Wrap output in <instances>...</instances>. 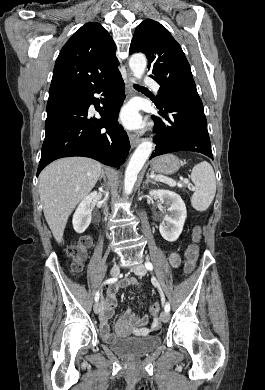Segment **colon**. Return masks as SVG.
I'll return each instance as SVG.
<instances>
[{
	"mask_svg": "<svg viewBox=\"0 0 265 390\" xmlns=\"http://www.w3.org/2000/svg\"><path fill=\"white\" fill-rule=\"evenodd\" d=\"M201 239L200 229H196L194 232V243L189 246L186 252L185 272L191 273L196 266V262L199 256L198 243ZM92 244V238L90 235L81 236L75 243H73L67 250V254L71 259V268L74 273H79L82 270L83 263L87 257V252ZM160 311V305L154 303L150 307V312L155 320L158 322V315Z\"/></svg>",
	"mask_w": 265,
	"mask_h": 390,
	"instance_id": "obj_1",
	"label": "colon"
}]
</instances>
